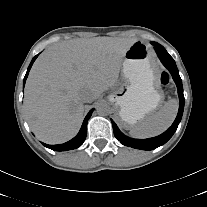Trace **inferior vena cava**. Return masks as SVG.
<instances>
[{"label":"inferior vena cava","mask_w":207,"mask_h":207,"mask_svg":"<svg viewBox=\"0 0 207 207\" xmlns=\"http://www.w3.org/2000/svg\"><path fill=\"white\" fill-rule=\"evenodd\" d=\"M81 99L83 102H87V103H90L93 101L92 96L89 92H83L81 94Z\"/></svg>","instance_id":"inferior-vena-cava-1"}]
</instances>
